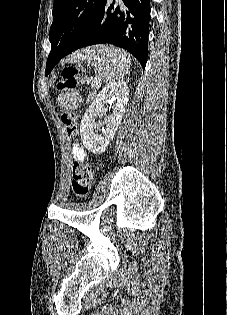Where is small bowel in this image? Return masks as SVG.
I'll return each instance as SVG.
<instances>
[{"mask_svg":"<svg viewBox=\"0 0 227 315\" xmlns=\"http://www.w3.org/2000/svg\"><path fill=\"white\" fill-rule=\"evenodd\" d=\"M71 151H72V157L75 161H78V162L84 161L86 157V153L84 149L78 143H73Z\"/></svg>","mask_w":227,"mask_h":315,"instance_id":"obj_1","label":"small bowel"}]
</instances>
